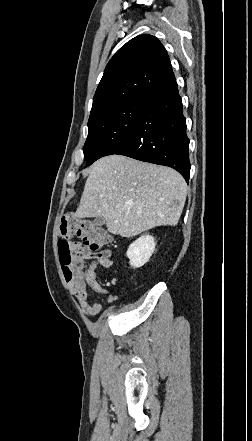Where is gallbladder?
<instances>
[{"mask_svg":"<svg viewBox=\"0 0 252 441\" xmlns=\"http://www.w3.org/2000/svg\"><path fill=\"white\" fill-rule=\"evenodd\" d=\"M93 224L96 226H102L105 224V220L103 217H97L93 220Z\"/></svg>","mask_w":252,"mask_h":441,"instance_id":"bac80fb5","label":"gallbladder"}]
</instances>
